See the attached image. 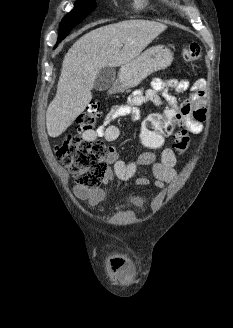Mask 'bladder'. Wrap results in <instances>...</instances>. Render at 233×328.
Returning <instances> with one entry per match:
<instances>
[{
    "label": "bladder",
    "mask_w": 233,
    "mask_h": 328,
    "mask_svg": "<svg viewBox=\"0 0 233 328\" xmlns=\"http://www.w3.org/2000/svg\"><path fill=\"white\" fill-rule=\"evenodd\" d=\"M130 202L134 206L141 207L144 204V199L140 196H133V197L130 198Z\"/></svg>",
    "instance_id": "1"
}]
</instances>
